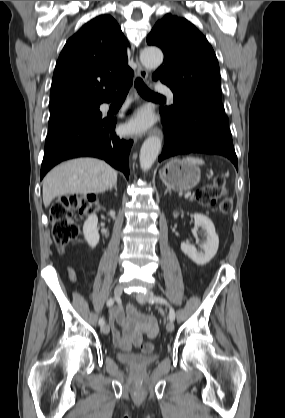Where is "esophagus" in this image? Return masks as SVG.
I'll return each mask as SVG.
<instances>
[{"mask_svg":"<svg viewBox=\"0 0 285 418\" xmlns=\"http://www.w3.org/2000/svg\"><path fill=\"white\" fill-rule=\"evenodd\" d=\"M136 69L137 74L141 79L146 80L148 78V71L141 65L138 58H136ZM149 134L162 137V131L157 127L150 130Z\"/></svg>","mask_w":285,"mask_h":418,"instance_id":"34e87169","label":"esophagus"}]
</instances>
